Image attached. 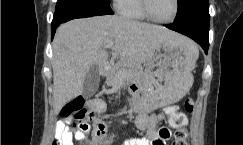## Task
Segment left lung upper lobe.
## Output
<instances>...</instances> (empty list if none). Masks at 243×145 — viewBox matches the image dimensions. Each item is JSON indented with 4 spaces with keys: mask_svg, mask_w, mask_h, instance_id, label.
<instances>
[{
    "mask_svg": "<svg viewBox=\"0 0 243 145\" xmlns=\"http://www.w3.org/2000/svg\"><path fill=\"white\" fill-rule=\"evenodd\" d=\"M179 16L209 33V0H178Z\"/></svg>",
    "mask_w": 243,
    "mask_h": 145,
    "instance_id": "5c2ea615",
    "label": "left lung upper lobe"
}]
</instances>
